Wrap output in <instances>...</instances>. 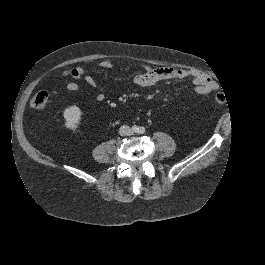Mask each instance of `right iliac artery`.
<instances>
[{
  "mask_svg": "<svg viewBox=\"0 0 265 265\" xmlns=\"http://www.w3.org/2000/svg\"><path fill=\"white\" fill-rule=\"evenodd\" d=\"M132 130H133V132H137V131H138L137 126H133V127H132Z\"/></svg>",
  "mask_w": 265,
  "mask_h": 265,
  "instance_id": "obj_1",
  "label": "right iliac artery"
}]
</instances>
